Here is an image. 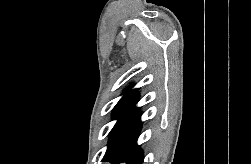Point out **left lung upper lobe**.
<instances>
[{
    "label": "left lung upper lobe",
    "mask_w": 251,
    "mask_h": 164,
    "mask_svg": "<svg viewBox=\"0 0 251 164\" xmlns=\"http://www.w3.org/2000/svg\"><path fill=\"white\" fill-rule=\"evenodd\" d=\"M132 86L128 87L124 93L123 97L120 99V101L117 103V105L113 109V119H116L117 122L113 129L110 132V137H109V143H108V148L105 153L104 159L106 160L111 156V154L114 151V146H115V139L116 136L125 121L126 117L128 116L129 112L132 110V108L136 105V103L139 100V89H131Z\"/></svg>",
    "instance_id": "1"
}]
</instances>
